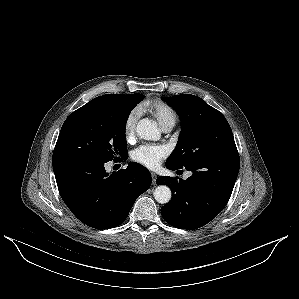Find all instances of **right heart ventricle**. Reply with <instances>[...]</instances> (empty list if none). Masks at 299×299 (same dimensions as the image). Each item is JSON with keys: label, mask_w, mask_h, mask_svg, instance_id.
<instances>
[{"label": "right heart ventricle", "mask_w": 299, "mask_h": 299, "mask_svg": "<svg viewBox=\"0 0 299 299\" xmlns=\"http://www.w3.org/2000/svg\"><path fill=\"white\" fill-rule=\"evenodd\" d=\"M155 119L161 127L166 125H175L177 114L168 104L160 100L150 102L145 108Z\"/></svg>", "instance_id": "right-heart-ventricle-1"}]
</instances>
